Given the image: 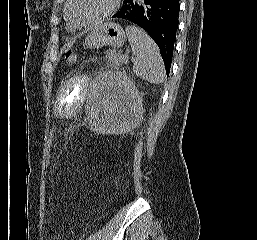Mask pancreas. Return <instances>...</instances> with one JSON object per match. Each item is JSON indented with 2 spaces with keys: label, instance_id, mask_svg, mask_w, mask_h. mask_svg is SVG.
<instances>
[{
  "label": "pancreas",
  "instance_id": "cf45deb5",
  "mask_svg": "<svg viewBox=\"0 0 257 240\" xmlns=\"http://www.w3.org/2000/svg\"><path fill=\"white\" fill-rule=\"evenodd\" d=\"M120 57V53L116 52V50L106 52V58L111 66H119L122 63Z\"/></svg>",
  "mask_w": 257,
  "mask_h": 240
}]
</instances>
